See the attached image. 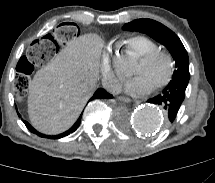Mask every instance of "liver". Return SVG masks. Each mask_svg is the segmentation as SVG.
<instances>
[{
	"mask_svg": "<svg viewBox=\"0 0 215 183\" xmlns=\"http://www.w3.org/2000/svg\"><path fill=\"white\" fill-rule=\"evenodd\" d=\"M102 48L98 35H82L36 72L28 95V114L35 129L53 135L74 124L96 88Z\"/></svg>",
	"mask_w": 215,
	"mask_h": 183,
	"instance_id": "6515ba94",
	"label": "liver"
}]
</instances>
